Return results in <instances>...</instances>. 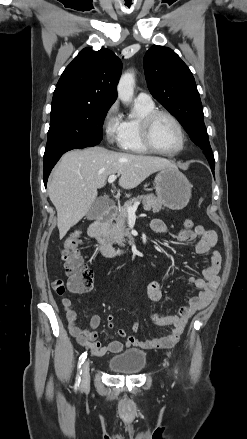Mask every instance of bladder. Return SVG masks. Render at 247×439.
Listing matches in <instances>:
<instances>
[{
    "mask_svg": "<svg viewBox=\"0 0 247 439\" xmlns=\"http://www.w3.org/2000/svg\"><path fill=\"white\" fill-rule=\"evenodd\" d=\"M108 368L115 373L134 375L146 367V353L142 349L125 350L108 360Z\"/></svg>",
    "mask_w": 247,
    "mask_h": 439,
    "instance_id": "obj_1",
    "label": "bladder"
}]
</instances>
